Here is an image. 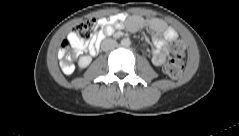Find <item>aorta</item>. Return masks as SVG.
Returning a JSON list of instances; mask_svg holds the SVG:
<instances>
[{"instance_id":"aorta-1","label":"aorta","mask_w":239,"mask_h":136,"mask_svg":"<svg viewBox=\"0 0 239 136\" xmlns=\"http://www.w3.org/2000/svg\"><path fill=\"white\" fill-rule=\"evenodd\" d=\"M130 44H131V42H130V39H129V38H124V39L121 40V45H122L123 47H129Z\"/></svg>"}]
</instances>
